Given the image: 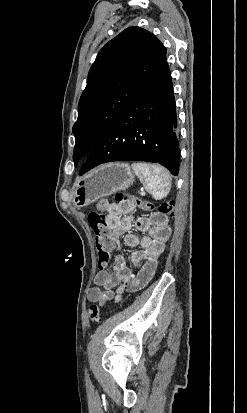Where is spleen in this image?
<instances>
[{
  "label": "spleen",
  "instance_id": "spleen-1",
  "mask_svg": "<svg viewBox=\"0 0 247 413\" xmlns=\"http://www.w3.org/2000/svg\"><path fill=\"white\" fill-rule=\"evenodd\" d=\"M144 162H133L132 168L135 170L138 178L143 182L147 192H151L153 198L161 200L165 198L171 188V176L163 166H158L154 170H146Z\"/></svg>",
  "mask_w": 247,
  "mask_h": 413
}]
</instances>
